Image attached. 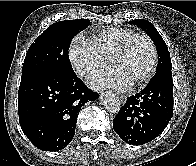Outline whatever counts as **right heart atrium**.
<instances>
[{"mask_svg": "<svg viewBox=\"0 0 196 166\" xmlns=\"http://www.w3.org/2000/svg\"><path fill=\"white\" fill-rule=\"evenodd\" d=\"M69 60L75 71L81 76H87L95 70L104 67L108 60L94 44L82 36H76L71 41Z\"/></svg>", "mask_w": 196, "mask_h": 166, "instance_id": "obj_1", "label": "right heart atrium"}]
</instances>
